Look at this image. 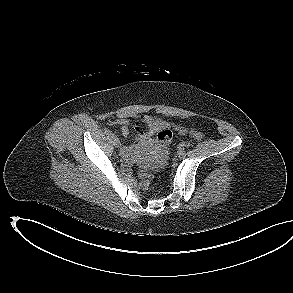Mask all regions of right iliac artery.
Returning <instances> with one entry per match:
<instances>
[{
  "label": "right iliac artery",
  "mask_w": 293,
  "mask_h": 293,
  "mask_svg": "<svg viewBox=\"0 0 293 293\" xmlns=\"http://www.w3.org/2000/svg\"><path fill=\"white\" fill-rule=\"evenodd\" d=\"M105 133L111 136V138L115 137V135L109 129H105Z\"/></svg>",
  "instance_id": "82829eb1"
}]
</instances>
